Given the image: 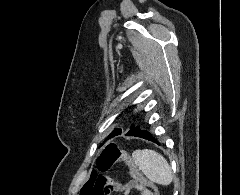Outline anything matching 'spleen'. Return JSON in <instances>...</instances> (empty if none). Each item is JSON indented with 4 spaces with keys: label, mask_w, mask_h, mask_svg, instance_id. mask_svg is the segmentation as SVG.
Segmentation results:
<instances>
[{
    "label": "spleen",
    "mask_w": 240,
    "mask_h": 195,
    "mask_svg": "<svg viewBox=\"0 0 240 195\" xmlns=\"http://www.w3.org/2000/svg\"><path fill=\"white\" fill-rule=\"evenodd\" d=\"M133 161L142 173L160 185H169L173 181L172 169L165 157L154 149H136L132 153Z\"/></svg>",
    "instance_id": "spleen-1"
}]
</instances>
